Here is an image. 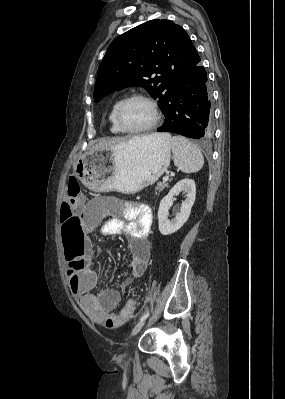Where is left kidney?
Here are the masks:
<instances>
[{
	"label": "left kidney",
	"instance_id": "left-kidney-1",
	"mask_svg": "<svg viewBox=\"0 0 285 399\" xmlns=\"http://www.w3.org/2000/svg\"><path fill=\"white\" fill-rule=\"evenodd\" d=\"M185 193L186 199L181 204L179 214L172 220L168 219V210L173 205L174 196ZM196 196V185L192 179H182L161 200L158 210L159 231L162 235H169L178 231L188 220Z\"/></svg>",
	"mask_w": 285,
	"mask_h": 399
}]
</instances>
